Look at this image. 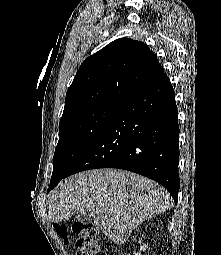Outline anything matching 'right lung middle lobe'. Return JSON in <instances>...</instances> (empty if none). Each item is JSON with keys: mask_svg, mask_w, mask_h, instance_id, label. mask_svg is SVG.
Returning a JSON list of instances; mask_svg holds the SVG:
<instances>
[{"mask_svg": "<svg viewBox=\"0 0 221 255\" xmlns=\"http://www.w3.org/2000/svg\"><path fill=\"white\" fill-rule=\"evenodd\" d=\"M120 104L107 103L77 111L59 123L50 187L63 179L103 130Z\"/></svg>", "mask_w": 221, "mask_h": 255, "instance_id": "dd1d6c3e", "label": "right lung middle lobe"}]
</instances>
